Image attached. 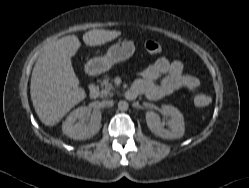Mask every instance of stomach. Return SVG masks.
Wrapping results in <instances>:
<instances>
[{"label":"stomach","mask_w":249,"mask_h":188,"mask_svg":"<svg viewBox=\"0 0 249 188\" xmlns=\"http://www.w3.org/2000/svg\"><path fill=\"white\" fill-rule=\"evenodd\" d=\"M135 51L134 42L122 40L112 45L104 56L90 59L86 70L91 74H100L108 71L113 65L129 59Z\"/></svg>","instance_id":"obj_1"}]
</instances>
